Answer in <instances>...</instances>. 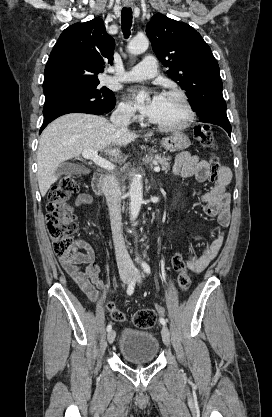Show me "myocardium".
Returning a JSON list of instances; mask_svg holds the SVG:
<instances>
[{
    "label": "myocardium",
    "mask_w": 272,
    "mask_h": 417,
    "mask_svg": "<svg viewBox=\"0 0 272 417\" xmlns=\"http://www.w3.org/2000/svg\"><path fill=\"white\" fill-rule=\"evenodd\" d=\"M165 95L177 97L184 105L186 116L181 122L176 124H161L153 120H151V123L158 129L167 132L180 131L187 128L195 118V111L188 95L181 89L168 90Z\"/></svg>",
    "instance_id": "myocardium-1"
}]
</instances>
